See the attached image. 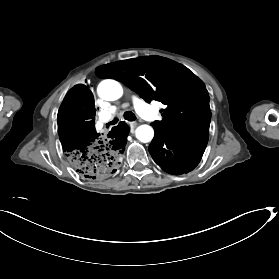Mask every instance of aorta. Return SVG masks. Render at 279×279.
I'll use <instances>...</instances> for the list:
<instances>
[{"label":"aorta","mask_w":279,"mask_h":279,"mask_svg":"<svg viewBox=\"0 0 279 279\" xmlns=\"http://www.w3.org/2000/svg\"><path fill=\"white\" fill-rule=\"evenodd\" d=\"M97 92L100 98L115 101L123 95V88L119 82L105 79L98 85ZM136 137L143 143L150 142L154 137V130L149 125H141L136 129Z\"/></svg>","instance_id":"762f6f07"}]
</instances>
